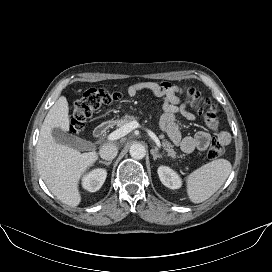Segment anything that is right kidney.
I'll return each mask as SVG.
<instances>
[{
    "mask_svg": "<svg viewBox=\"0 0 272 272\" xmlns=\"http://www.w3.org/2000/svg\"><path fill=\"white\" fill-rule=\"evenodd\" d=\"M107 176L104 169H94L89 174L83 177V187L89 192L98 191L103 185Z\"/></svg>",
    "mask_w": 272,
    "mask_h": 272,
    "instance_id": "ca27d5eb",
    "label": "right kidney"
}]
</instances>
